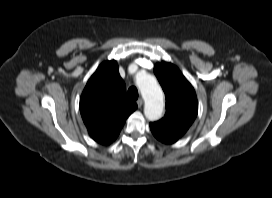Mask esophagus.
Segmentation results:
<instances>
[{"mask_svg": "<svg viewBox=\"0 0 272 198\" xmlns=\"http://www.w3.org/2000/svg\"><path fill=\"white\" fill-rule=\"evenodd\" d=\"M137 105H138V107H141L143 105V99L142 98H139L137 100Z\"/></svg>", "mask_w": 272, "mask_h": 198, "instance_id": "obj_1", "label": "esophagus"}]
</instances>
